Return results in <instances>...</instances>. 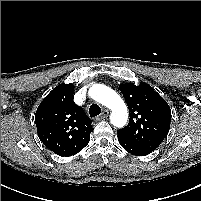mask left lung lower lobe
<instances>
[{
	"label": "left lung lower lobe",
	"instance_id": "left-lung-lower-lobe-1",
	"mask_svg": "<svg viewBox=\"0 0 201 201\" xmlns=\"http://www.w3.org/2000/svg\"><path fill=\"white\" fill-rule=\"evenodd\" d=\"M118 141L120 145L129 153L137 155V156H145L150 154L152 151L133 142L132 140L128 139L126 136L118 133Z\"/></svg>",
	"mask_w": 201,
	"mask_h": 201
}]
</instances>
